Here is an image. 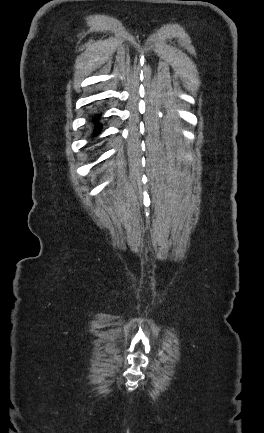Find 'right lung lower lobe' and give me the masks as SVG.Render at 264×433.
<instances>
[{
    "mask_svg": "<svg viewBox=\"0 0 264 433\" xmlns=\"http://www.w3.org/2000/svg\"><path fill=\"white\" fill-rule=\"evenodd\" d=\"M100 115L99 113H96L95 115L92 116L91 119V123L95 124V135L100 133V129L102 127V125L100 124L99 120H100Z\"/></svg>",
    "mask_w": 264,
    "mask_h": 433,
    "instance_id": "1",
    "label": "right lung lower lobe"
}]
</instances>
